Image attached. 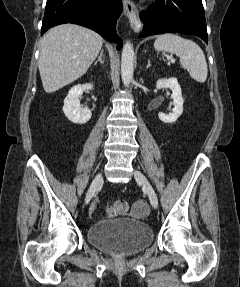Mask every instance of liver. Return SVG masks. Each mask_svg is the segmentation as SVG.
<instances>
[{"label":"liver","mask_w":240,"mask_h":287,"mask_svg":"<svg viewBox=\"0 0 240 287\" xmlns=\"http://www.w3.org/2000/svg\"><path fill=\"white\" fill-rule=\"evenodd\" d=\"M103 38L74 24L50 29L42 38L39 72L46 93H53L83 76L98 56Z\"/></svg>","instance_id":"obj_1"}]
</instances>
